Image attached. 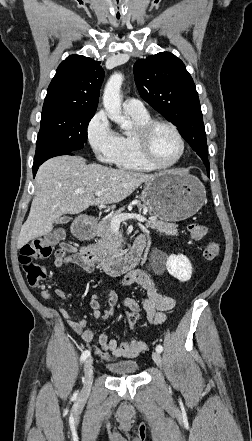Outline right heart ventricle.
Masks as SVG:
<instances>
[{"label": "right heart ventricle", "instance_id": "right-heart-ventricle-1", "mask_svg": "<svg viewBox=\"0 0 252 441\" xmlns=\"http://www.w3.org/2000/svg\"><path fill=\"white\" fill-rule=\"evenodd\" d=\"M136 125V129L130 133H123L119 135V150L116 156L115 164L122 169L137 171V172H149L154 170L148 165L140 156L138 151L135 133L137 129L151 121L148 114L146 115H133L129 114Z\"/></svg>", "mask_w": 252, "mask_h": 441}]
</instances>
